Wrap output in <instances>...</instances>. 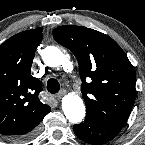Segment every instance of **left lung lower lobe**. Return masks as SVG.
<instances>
[{
    "label": "left lung lower lobe",
    "instance_id": "left-lung-lower-lobe-1",
    "mask_svg": "<svg viewBox=\"0 0 145 145\" xmlns=\"http://www.w3.org/2000/svg\"><path fill=\"white\" fill-rule=\"evenodd\" d=\"M76 136L84 142L101 145L112 140L120 128L110 127L92 118L86 117L84 122L73 126Z\"/></svg>",
    "mask_w": 145,
    "mask_h": 145
}]
</instances>
